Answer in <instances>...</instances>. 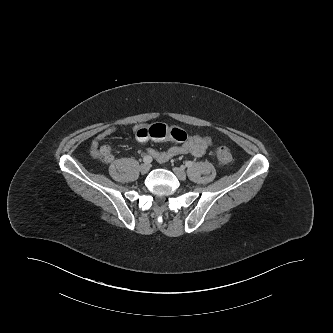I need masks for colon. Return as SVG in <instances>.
Wrapping results in <instances>:
<instances>
[{"instance_id":"obj_1","label":"colon","mask_w":333,"mask_h":333,"mask_svg":"<svg viewBox=\"0 0 333 333\" xmlns=\"http://www.w3.org/2000/svg\"><path fill=\"white\" fill-rule=\"evenodd\" d=\"M136 137L140 141L153 139L164 140L172 139L174 141L183 142L187 138V134L184 130L167 126L165 124L156 123L151 126L141 127L136 131ZM217 158L223 164H228L233 160V154L227 147H219L217 150Z\"/></svg>"}]
</instances>
